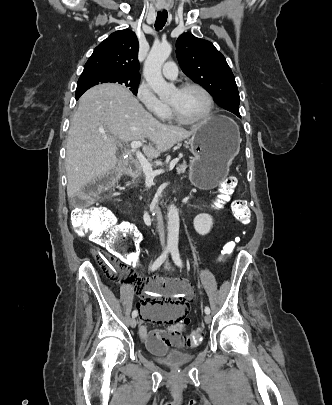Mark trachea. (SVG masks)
I'll list each match as a JSON object with an SVG mask.
<instances>
[{
  "instance_id": "1",
  "label": "trachea",
  "mask_w": 332,
  "mask_h": 405,
  "mask_svg": "<svg viewBox=\"0 0 332 405\" xmlns=\"http://www.w3.org/2000/svg\"><path fill=\"white\" fill-rule=\"evenodd\" d=\"M168 13L167 11H159L157 13V18L155 21V28L156 30H161L167 21Z\"/></svg>"
}]
</instances>
